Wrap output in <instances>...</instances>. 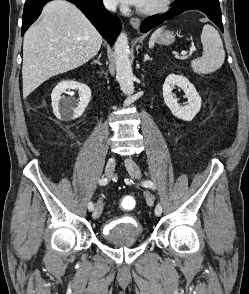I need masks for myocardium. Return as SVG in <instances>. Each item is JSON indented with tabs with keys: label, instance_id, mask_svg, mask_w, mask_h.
<instances>
[{
	"label": "myocardium",
	"instance_id": "obj_1",
	"mask_svg": "<svg viewBox=\"0 0 249 294\" xmlns=\"http://www.w3.org/2000/svg\"><path fill=\"white\" fill-rule=\"evenodd\" d=\"M172 2L173 0H162L160 3L152 7L139 8V11L147 15L157 14V13L165 11L171 5Z\"/></svg>",
	"mask_w": 249,
	"mask_h": 294
}]
</instances>
